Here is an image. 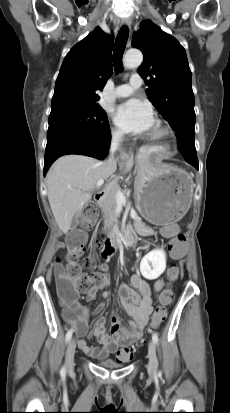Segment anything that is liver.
I'll list each match as a JSON object with an SVG mask.
<instances>
[{
  "mask_svg": "<svg viewBox=\"0 0 230 413\" xmlns=\"http://www.w3.org/2000/svg\"><path fill=\"white\" fill-rule=\"evenodd\" d=\"M115 170L106 167L105 161L78 154L62 156L53 163L47 173L48 200L63 233L70 229L74 215L90 201L98 180H108Z\"/></svg>",
  "mask_w": 230,
  "mask_h": 413,
  "instance_id": "obj_1",
  "label": "liver"
}]
</instances>
